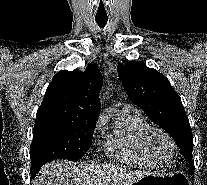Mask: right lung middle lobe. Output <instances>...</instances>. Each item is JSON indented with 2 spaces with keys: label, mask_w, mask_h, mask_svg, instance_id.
Instances as JSON below:
<instances>
[{
  "label": "right lung middle lobe",
  "mask_w": 207,
  "mask_h": 185,
  "mask_svg": "<svg viewBox=\"0 0 207 185\" xmlns=\"http://www.w3.org/2000/svg\"><path fill=\"white\" fill-rule=\"evenodd\" d=\"M95 125L63 118H36L30 147L31 175L53 159L76 160L92 144Z\"/></svg>",
  "instance_id": "1"
}]
</instances>
